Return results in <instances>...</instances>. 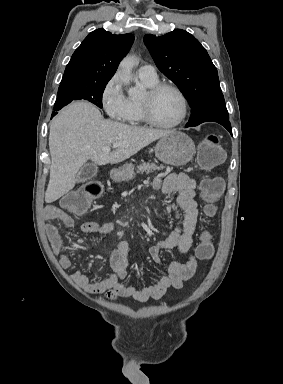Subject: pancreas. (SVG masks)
<instances>
[{
	"mask_svg": "<svg viewBox=\"0 0 283 384\" xmlns=\"http://www.w3.org/2000/svg\"><path fill=\"white\" fill-rule=\"evenodd\" d=\"M165 166L161 164V166H157V164H140V166H137V174H141V172H155V170H163Z\"/></svg>",
	"mask_w": 283,
	"mask_h": 384,
	"instance_id": "cf45deb5",
	"label": "pancreas"
}]
</instances>
